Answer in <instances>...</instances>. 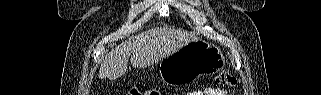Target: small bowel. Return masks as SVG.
I'll return each instance as SVG.
<instances>
[{
  "label": "small bowel",
  "mask_w": 321,
  "mask_h": 95,
  "mask_svg": "<svg viewBox=\"0 0 321 95\" xmlns=\"http://www.w3.org/2000/svg\"><path fill=\"white\" fill-rule=\"evenodd\" d=\"M191 95H226V92L220 89L209 88L204 92H194Z\"/></svg>",
  "instance_id": "small-bowel-1"
}]
</instances>
